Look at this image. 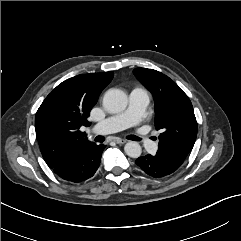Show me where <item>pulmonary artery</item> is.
I'll return each mask as SVG.
<instances>
[{
  "mask_svg": "<svg viewBox=\"0 0 241 241\" xmlns=\"http://www.w3.org/2000/svg\"><path fill=\"white\" fill-rule=\"evenodd\" d=\"M150 101V94L144 87H135L129 95V106L123 113L110 116L94 126V131L100 134H108L123 130L128 127H136L135 134L141 139L142 144L147 148L153 147L152 140L145 136L139 124L145 116Z\"/></svg>",
  "mask_w": 241,
  "mask_h": 241,
  "instance_id": "pulmonary-artery-1",
  "label": "pulmonary artery"
}]
</instances>
